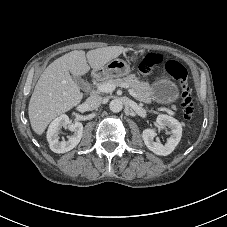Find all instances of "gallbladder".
Segmentation results:
<instances>
[{
    "instance_id": "gallbladder-1",
    "label": "gallbladder",
    "mask_w": 227,
    "mask_h": 227,
    "mask_svg": "<svg viewBox=\"0 0 227 227\" xmlns=\"http://www.w3.org/2000/svg\"><path fill=\"white\" fill-rule=\"evenodd\" d=\"M74 79L79 87H82L85 84L84 80L81 77L74 76Z\"/></svg>"
}]
</instances>
